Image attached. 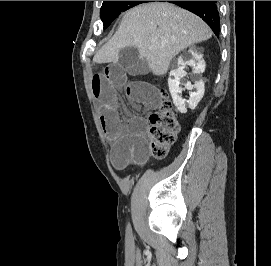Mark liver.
Returning <instances> with one entry per match:
<instances>
[{
    "instance_id": "1",
    "label": "liver",
    "mask_w": 271,
    "mask_h": 266,
    "mask_svg": "<svg viewBox=\"0 0 271 266\" xmlns=\"http://www.w3.org/2000/svg\"><path fill=\"white\" fill-rule=\"evenodd\" d=\"M211 36L209 26L187 10L169 3L142 4L126 12L117 32L93 61L117 63L120 51L133 46L150 63L151 72L162 76L180 51Z\"/></svg>"
}]
</instances>
